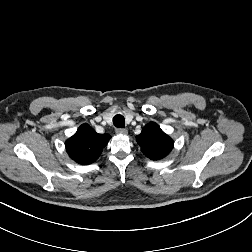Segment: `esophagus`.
<instances>
[{
  "instance_id": "obj_1",
  "label": "esophagus",
  "mask_w": 252,
  "mask_h": 252,
  "mask_svg": "<svg viewBox=\"0 0 252 252\" xmlns=\"http://www.w3.org/2000/svg\"><path fill=\"white\" fill-rule=\"evenodd\" d=\"M116 133L120 134V135H126L127 134V130L124 128H117L116 129Z\"/></svg>"
}]
</instances>
